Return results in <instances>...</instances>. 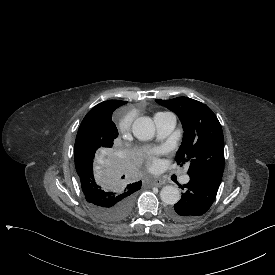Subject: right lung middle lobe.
I'll return each mask as SVG.
<instances>
[{"label":"right lung middle lobe","instance_id":"right-lung-middle-lobe-1","mask_svg":"<svg viewBox=\"0 0 275 275\" xmlns=\"http://www.w3.org/2000/svg\"><path fill=\"white\" fill-rule=\"evenodd\" d=\"M110 121H82L75 141L74 160L81 193L102 218L119 221L129 214L140 187H128L129 163Z\"/></svg>","mask_w":275,"mask_h":275}]
</instances>
